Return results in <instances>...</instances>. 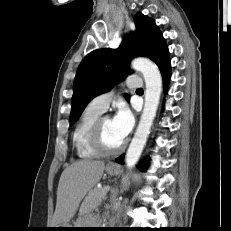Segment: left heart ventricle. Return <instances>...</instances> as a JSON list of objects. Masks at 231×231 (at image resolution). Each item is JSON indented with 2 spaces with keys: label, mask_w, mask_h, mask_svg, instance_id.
Listing matches in <instances>:
<instances>
[{
  "label": "left heart ventricle",
  "mask_w": 231,
  "mask_h": 231,
  "mask_svg": "<svg viewBox=\"0 0 231 231\" xmlns=\"http://www.w3.org/2000/svg\"><path fill=\"white\" fill-rule=\"evenodd\" d=\"M102 135H103L104 144L109 148L117 147L123 142V140L116 132L112 120L109 118H106L103 121Z\"/></svg>",
  "instance_id": "obj_1"
}]
</instances>
